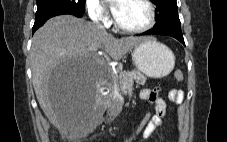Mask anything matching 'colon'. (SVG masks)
Here are the masks:
<instances>
[{"instance_id": "colon-1", "label": "colon", "mask_w": 227, "mask_h": 142, "mask_svg": "<svg viewBox=\"0 0 227 142\" xmlns=\"http://www.w3.org/2000/svg\"><path fill=\"white\" fill-rule=\"evenodd\" d=\"M175 78L177 80H182L183 79L182 72L176 71ZM155 115H156L155 112L147 113L143 117V119L141 120V122L139 123L137 128L129 136L125 137L124 139L120 140L119 142H135L143 134V132L146 130V128L149 126V124L153 121V119L155 118Z\"/></svg>"}]
</instances>
